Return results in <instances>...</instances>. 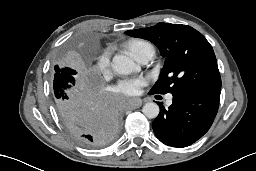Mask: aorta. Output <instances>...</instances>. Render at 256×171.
<instances>
[{
    "label": "aorta",
    "instance_id": "1",
    "mask_svg": "<svg viewBox=\"0 0 256 171\" xmlns=\"http://www.w3.org/2000/svg\"><path fill=\"white\" fill-rule=\"evenodd\" d=\"M113 70L122 75H129L134 71L138 70V66L134 61L126 55L117 54L112 60ZM143 114L147 118H156L160 112L159 106L154 102L146 103L142 108Z\"/></svg>",
    "mask_w": 256,
    "mask_h": 171
}]
</instances>
